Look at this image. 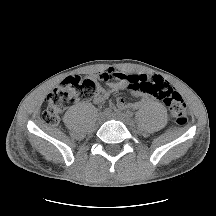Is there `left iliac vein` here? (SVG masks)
<instances>
[{"instance_id": "4c4485c4", "label": "left iliac vein", "mask_w": 216, "mask_h": 216, "mask_svg": "<svg viewBox=\"0 0 216 216\" xmlns=\"http://www.w3.org/2000/svg\"><path fill=\"white\" fill-rule=\"evenodd\" d=\"M109 118L110 119L119 120V121L123 122L126 125L131 124L130 118L126 114H124V113L110 114Z\"/></svg>"}]
</instances>
